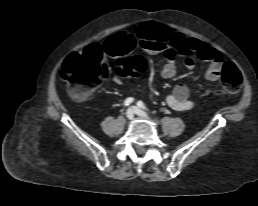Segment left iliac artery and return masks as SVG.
<instances>
[{
  "label": "left iliac artery",
  "mask_w": 258,
  "mask_h": 206,
  "mask_svg": "<svg viewBox=\"0 0 258 206\" xmlns=\"http://www.w3.org/2000/svg\"><path fill=\"white\" fill-rule=\"evenodd\" d=\"M137 105H138L140 108L144 109V110H148L147 107L144 105V103H143L142 101H139V102L137 103Z\"/></svg>",
  "instance_id": "left-iliac-artery-1"
}]
</instances>
